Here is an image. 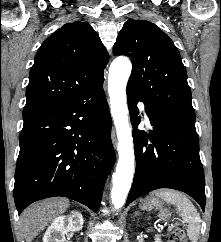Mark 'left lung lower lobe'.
<instances>
[{"instance_id":"0a47b994","label":"left lung lower lobe","mask_w":221,"mask_h":242,"mask_svg":"<svg viewBox=\"0 0 221 242\" xmlns=\"http://www.w3.org/2000/svg\"><path fill=\"white\" fill-rule=\"evenodd\" d=\"M127 99L131 124L135 128L136 171L126 206L150 191L171 188L193 197L204 211L205 178L195 122L156 111L145 104L153 126L147 134L136 128L140 123L136 104L142 99L129 89Z\"/></svg>"}]
</instances>
